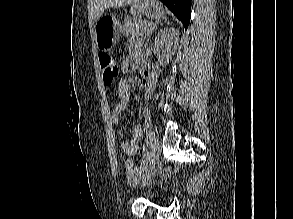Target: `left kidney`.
<instances>
[{"label":"left kidney","mask_w":293,"mask_h":219,"mask_svg":"<svg viewBox=\"0 0 293 219\" xmlns=\"http://www.w3.org/2000/svg\"><path fill=\"white\" fill-rule=\"evenodd\" d=\"M178 37L179 31L173 27L160 30L155 37L154 53L162 66L168 64L175 54Z\"/></svg>","instance_id":"1"}]
</instances>
